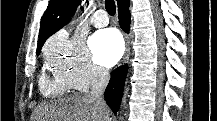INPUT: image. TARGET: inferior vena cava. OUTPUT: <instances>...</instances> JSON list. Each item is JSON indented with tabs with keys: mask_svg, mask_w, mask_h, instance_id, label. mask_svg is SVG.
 Segmentation results:
<instances>
[{
	"mask_svg": "<svg viewBox=\"0 0 217 121\" xmlns=\"http://www.w3.org/2000/svg\"><path fill=\"white\" fill-rule=\"evenodd\" d=\"M109 72L107 69L96 67L94 69L93 79L91 83V91L88 93V97L95 100L100 108L103 109L106 104L103 98L104 91L109 82Z\"/></svg>",
	"mask_w": 217,
	"mask_h": 121,
	"instance_id": "obj_1",
	"label": "inferior vena cava"
}]
</instances>
